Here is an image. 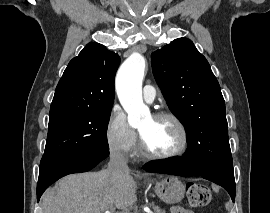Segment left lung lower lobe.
<instances>
[{
    "label": "left lung lower lobe",
    "mask_w": 270,
    "mask_h": 213,
    "mask_svg": "<svg viewBox=\"0 0 270 213\" xmlns=\"http://www.w3.org/2000/svg\"><path fill=\"white\" fill-rule=\"evenodd\" d=\"M148 172L179 176H201L222 186L235 200V180L233 165H221L210 168L203 167L197 160L194 150L188 143V150L182 157L171 158L159 163H150L145 166Z\"/></svg>",
    "instance_id": "1"
}]
</instances>
